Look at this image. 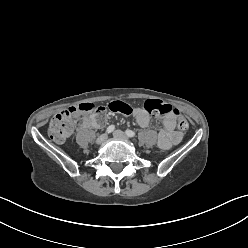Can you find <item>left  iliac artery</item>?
Here are the masks:
<instances>
[{
	"label": "left iliac artery",
	"mask_w": 248,
	"mask_h": 248,
	"mask_svg": "<svg viewBox=\"0 0 248 248\" xmlns=\"http://www.w3.org/2000/svg\"><path fill=\"white\" fill-rule=\"evenodd\" d=\"M125 133L128 137H134L136 135L135 132L132 130H126Z\"/></svg>",
	"instance_id": "44dca946"
}]
</instances>
